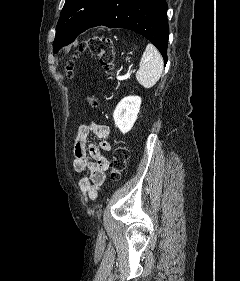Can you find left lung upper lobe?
Masks as SVG:
<instances>
[{"label": "left lung upper lobe", "mask_w": 240, "mask_h": 281, "mask_svg": "<svg viewBox=\"0 0 240 281\" xmlns=\"http://www.w3.org/2000/svg\"><path fill=\"white\" fill-rule=\"evenodd\" d=\"M103 0H66L56 27L53 51L72 43Z\"/></svg>", "instance_id": "5c2ea615"}]
</instances>
